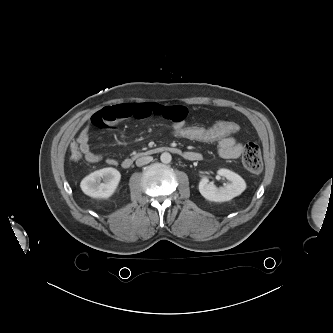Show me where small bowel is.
Segmentation results:
<instances>
[{
	"label": "small bowel",
	"mask_w": 333,
	"mask_h": 333,
	"mask_svg": "<svg viewBox=\"0 0 333 333\" xmlns=\"http://www.w3.org/2000/svg\"><path fill=\"white\" fill-rule=\"evenodd\" d=\"M187 109L179 105H164L157 102L122 103L107 106L95 112L90 123L100 128H114L115 125L128 118L144 119L156 116L169 121L172 124H186ZM89 126H84L79 132L76 142L80 147L82 155L89 163H97L102 160V156L91 150L89 145ZM243 151V145L230 136L218 141V153L224 159H236ZM200 154L196 152H186L185 158L189 160L200 159ZM106 163L116 165L117 160L107 158Z\"/></svg>",
	"instance_id": "obj_1"
}]
</instances>
